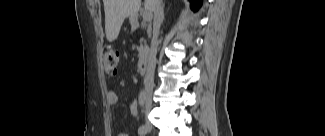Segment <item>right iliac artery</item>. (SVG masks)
I'll list each match as a JSON object with an SVG mask.
<instances>
[{
    "label": "right iliac artery",
    "mask_w": 325,
    "mask_h": 136,
    "mask_svg": "<svg viewBox=\"0 0 325 136\" xmlns=\"http://www.w3.org/2000/svg\"><path fill=\"white\" fill-rule=\"evenodd\" d=\"M138 133L140 136H144L147 133L146 126H144V125L140 126V128L138 129Z\"/></svg>",
    "instance_id": "1"
}]
</instances>
